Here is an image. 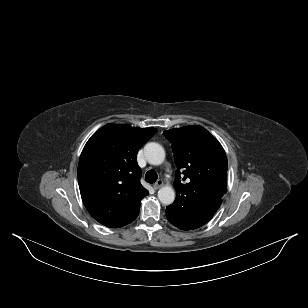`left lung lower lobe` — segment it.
Masks as SVG:
<instances>
[{
	"mask_svg": "<svg viewBox=\"0 0 308 308\" xmlns=\"http://www.w3.org/2000/svg\"><path fill=\"white\" fill-rule=\"evenodd\" d=\"M222 201L214 202L187 213H178L166 208V217L174 226L182 230H193L206 224L220 207Z\"/></svg>",
	"mask_w": 308,
	"mask_h": 308,
	"instance_id": "left-lung-lower-lobe-1",
	"label": "left lung lower lobe"
}]
</instances>
